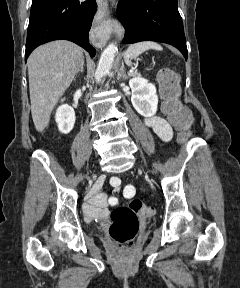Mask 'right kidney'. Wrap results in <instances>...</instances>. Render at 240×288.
I'll use <instances>...</instances> for the list:
<instances>
[{"label":"right kidney","mask_w":240,"mask_h":288,"mask_svg":"<svg viewBox=\"0 0 240 288\" xmlns=\"http://www.w3.org/2000/svg\"><path fill=\"white\" fill-rule=\"evenodd\" d=\"M55 120L61 133H70L76 120L74 109L68 104H62L56 111Z\"/></svg>","instance_id":"right-kidney-1"}]
</instances>
